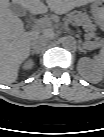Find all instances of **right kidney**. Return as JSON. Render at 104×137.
I'll return each mask as SVG.
<instances>
[{
    "instance_id": "right-kidney-1",
    "label": "right kidney",
    "mask_w": 104,
    "mask_h": 137,
    "mask_svg": "<svg viewBox=\"0 0 104 137\" xmlns=\"http://www.w3.org/2000/svg\"><path fill=\"white\" fill-rule=\"evenodd\" d=\"M33 66V62L32 61H27L25 64H24V68L25 69H30L32 68Z\"/></svg>"
}]
</instances>
